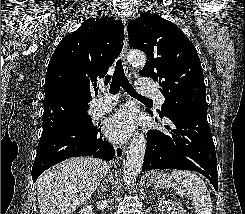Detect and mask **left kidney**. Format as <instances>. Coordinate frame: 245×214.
Here are the masks:
<instances>
[{
  "mask_svg": "<svg viewBox=\"0 0 245 214\" xmlns=\"http://www.w3.org/2000/svg\"><path fill=\"white\" fill-rule=\"evenodd\" d=\"M171 209L176 210L174 214H186L184 209L179 203L161 200L158 204V211H160L161 214H163V212H165L166 210H171Z\"/></svg>",
  "mask_w": 245,
  "mask_h": 214,
  "instance_id": "1",
  "label": "left kidney"
}]
</instances>
